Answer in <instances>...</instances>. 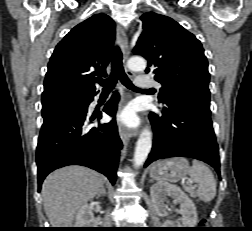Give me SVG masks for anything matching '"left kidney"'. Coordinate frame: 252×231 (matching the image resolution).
I'll use <instances>...</instances> for the list:
<instances>
[{"instance_id":"obj_1","label":"left kidney","mask_w":252,"mask_h":231,"mask_svg":"<svg viewBox=\"0 0 252 231\" xmlns=\"http://www.w3.org/2000/svg\"><path fill=\"white\" fill-rule=\"evenodd\" d=\"M150 196L156 213L165 216L167 196L173 199L175 204H179V213L182 217L180 221L167 220L169 228H194L197 224V211L193 201L179 188L167 183H157L152 185Z\"/></svg>"}]
</instances>
